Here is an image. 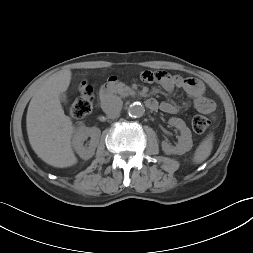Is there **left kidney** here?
Returning <instances> with one entry per match:
<instances>
[{"label":"left kidney","instance_id":"5707ae66","mask_svg":"<svg viewBox=\"0 0 253 253\" xmlns=\"http://www.w3.org/2000/svg\"><path fill=\"white\" fill-rule=\"evenodd\" d=\"M169 124L180 130L181 136L178 139L176 146H171L167 142H162V150L165 154H184L191 150L193 146L192 134L190 129L186 126L185 122L180 118L172 117L169 119Z\"/></svg>","mask_w":253,"mask_h":253}]
</instances>
